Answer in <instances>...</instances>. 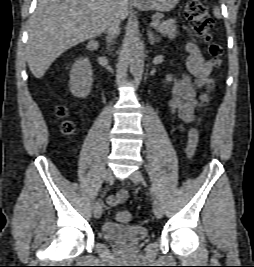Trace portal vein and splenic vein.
Listing matches in <instances>:
<instances>
[{
  "label": "portal vein and splenic vein",
  "instance_id": "obj_1",
  "mask_svg": "<svg viewBox=\"0 0 254 267\" xmlns=\"http://www.w3.org/2000/svg\"><path fill=\"white\" fill-rule=\"evenodd\" d=\"M160 21L159 20H153L151 23H150V26L151 27H156L157 25H159Z\"/></svg>",
  "mask_w": 254,
  "mask_h": 267
}]
</instances>
